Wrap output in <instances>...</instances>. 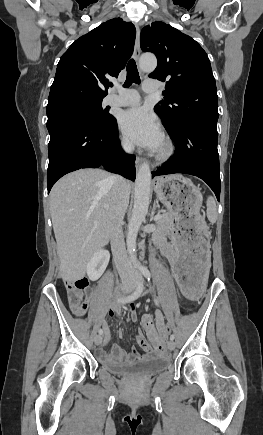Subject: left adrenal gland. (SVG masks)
Masks as SVG:
<instances>
[{"instance_id":"obj_1","label":"left adrenal gland","mask_w":263,"mask_h":435,"mask_svg":"<svg viewBox=\"0 0 263 435\" xmlns=\"http://www.w3.org/2000/svg\"><path fill=\"white\" fill-rule=\"evenodd\" d=\"M156 208H157V205H156V202H154L152 212H151V217H150L151 221H153Z\"/></svg>"}]
</instances>
